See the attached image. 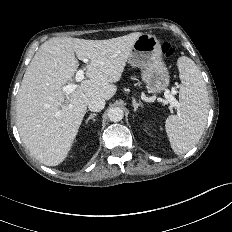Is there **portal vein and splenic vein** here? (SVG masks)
Listing matches in <instances>:
<instances>
[{"label": "portal vein and splenic vein", "mask_w": 232, "mask_h": 232, "mask_svg": "<svg viewBox=\"0 0 232 232\" xmlns=\"http://www.w3.org/2000/svg\"><path fill=\"white\" fill-rule=\"evenodd\" d=\"M83 62L86 63L88 62V59H83ZM84 79V69H79L76 72L75 75V80L76 82H80ZM78 85L74 84V83H70L66 86L62 87L63 92L68 95L70 93H72L75 89H77ZM165 98L167 99V101L173 106V107H179V102L176 100V98L170 94V92L167 90L165 92Z\"/></svg>", "instance_id": "1"}]
</instances>
